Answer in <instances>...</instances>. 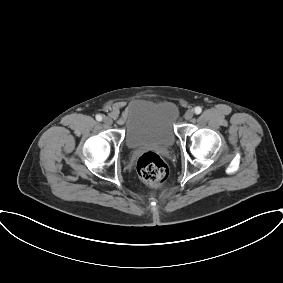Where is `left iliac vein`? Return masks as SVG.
Masks as SVG:
<instances>
[{"mask_svg":"<svg viewBox=\"0 0 283 283\" xmlns=\"http://www.w3.org/2000/svg\"><path fill=\"white\" fill-rule=\"evenodd\" d=\"M193 116H194L193 110H188V111H186V113H185V115H184V117H185L186 120L192 119Z\"/></svg>","mask_w":283,"mask_h":283,"instance_id":"1","label":"left iliac vein"}]
</instances>
